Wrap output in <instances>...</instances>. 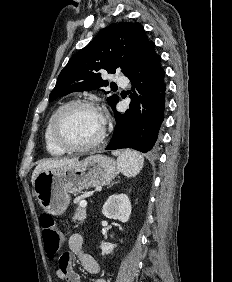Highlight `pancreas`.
<instances>
[{
    "label": "pancreas",
    "instance_id": "obj_1",
    "mask_svg": "<svg viewBox=\"0 0 232 282\" xmlns=\"http://www.w3.org/2000/svg\"><path fill=\"white\" fill-rule=\"evenodd\" d=\"M86 218V209L78 207L76 213L74 214L73 221H79V223H82Z\"/></svg>",
    "mask_w": 232,
    "mask_h": 282
}]
</instances>
